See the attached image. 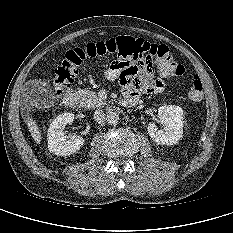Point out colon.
Listing matches in <instances>:
<instances>
[{"mask_svg":"<svg viewBox=\"0 0 233 233\" xmlns=\"http://www.w3.org/2000/svg\"><path fill=\"white\" fill-rule=\"evenodd\" d=\"M138 52L156 53L160 56L159 72L163 78L178 77L185 72L184 66L174 60L166 46L152 44L142 38L119 36L105 42L91 43L84 48H75L68 51L54 70L52 78L54 91L57 95H60L73 83L87 57L115 55L118 58L115 62L117 64L120 60L133 58ZM188 95L193 102L199 103L203 100V84L197 75H194L191 79Z\"/></svg>","mask_w":233,"mask_h":233,"instance_id":"5ec220e1","label":"colon"}]
</instances>
